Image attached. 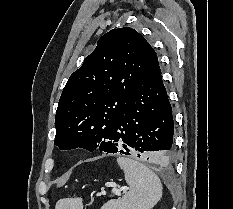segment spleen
Wrapping results in <instances>:
<instances>
[{
	"mask_svg": "<svg viewBox=\"0 0 233 209\" xmlns=\"http://www.w3.org/2000/svg\"><path fill=\"white\" fill-rule=\"evenodd\" d=\"M117 163L124 171L129 191L122 198L108 201L101 209H152L162 196L158 176L144 164L130 158L119 157ZM55 209H82V199H61Z\"/></svg>",
	"mask_w": 233,
	"mask_h": 209,
	"instance_id": "spleen-1",
	"label": "spleen"
}]
</instances>
